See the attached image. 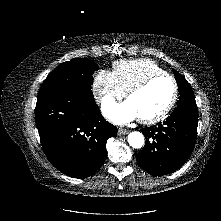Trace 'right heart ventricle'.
Wrapping results in <instances>:
<instances>
[{
    "mask_svg": "<svg viewBox=\"0 0 221 221\" xmlns=\"http://www.w3.org/2000/svg\"><path fill=\"white\" fill-rule=\"evenodd\" d=\"M162 72L155 62L148 59L119 60L113 63V74L124 92L146 77Z\"/></svg>",
    "mask_w": 221,
    "mask_h": 221,
    "instance_id": "obj_1",
    "label": "right heart ventricle"
}]
</instances>
